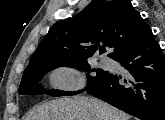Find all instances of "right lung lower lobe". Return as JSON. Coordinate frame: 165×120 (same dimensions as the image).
<instances>
[{
  "label": "right lung lower lobe",
  "instance_id": "obj_1",
  "mask_svg": "<svg viewBox=\"0 0 165 120\" xmlns=\"http://www.w3.org/2000/svg\"><path fill=\"white\" fill-rule=\"evenodd\" d=\"M128 72L109 73L88 93L141 120H165V57L151 33L113 58Z\"/></svg>",
  "mask_w": 165,
  "mask_h": 120
}]
</instances>
